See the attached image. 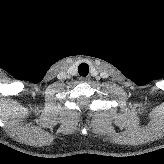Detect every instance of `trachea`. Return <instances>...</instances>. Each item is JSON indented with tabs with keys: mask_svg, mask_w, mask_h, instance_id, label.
<instances>
[{
	"mask_svg": "<svg viewBox=\"0 0 164 164\" xmlns=\"http://www.w3.org/2000/svg\"><path fill=\"white\" fill-rule=\"evenodd\" d=\"M78 73L80 76L86 77L89 73V66L86 63H81L78 67Z\"/></svg>",
	"mask_w": 164,
	"mask_h": 164,
	"instance_id": "1",
	"label": "trachea"
}]
</instances>
